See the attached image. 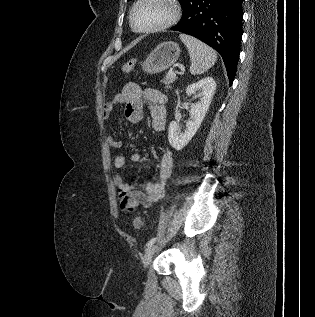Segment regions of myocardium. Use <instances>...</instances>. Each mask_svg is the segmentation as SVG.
<instances>
[{"instance_id":"myocardium-1","label":"myocardium","mask_w":315,"mask_h":317,"mask_svg":"<svg viewBox=\"0 0 315 317\" xmlns=\"http://www.w3.org/2000/svg\"><path fill=\"white\" fill-rule=\"evenodd\" d=\"M144 1L145 0H137L134 3V5L132 6V9L130 11V16H129L130 25L135 32H137V33H153V32H157V31H161V30H164L166 28L171 27L179 20L180 15H181V8H180V4H179L178 0H164L170 6V9H171L170 16L164 22H162L156 26L144 28V29L137 28L135 26V23H134V13H135L136 8Z\"/></svg>"}]
</instances>
